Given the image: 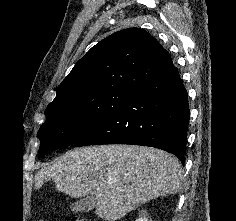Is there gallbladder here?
<instances>
[{
	"instance_id": "1",
	"label": "gallbladder",
	"mask_w": 236,
	"mask_h": 221,
	"mask_svg": "<svg viewBox=\"0 0 236 221\" xmlns=\"http://www.w3.org/2000/svg\"><path fill=\"white\" fill-rule=\"evenodd\" d=\"M97 201L93 195H88L75 201L70 205V208L74 212H89L96 207Z\"/></svg>"
}]
</instances>
